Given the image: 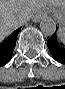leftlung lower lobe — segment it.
I'll return each instance as SVG.
<instances>
[{"label":"left lung lower lobe","instance_id":"1","mask_svg":"<svg viewBox=\"0 0 65 89\" xmlns=\"http://www.w3.org/2000/svg\"><path fill=\"white\" fill-rule=\"evenodd\" d=\"M47 46L53 58L56 61L65 64V42H61L57 35L53 34L52 37L47 41Z\"/></svg>","mask_w":65,"mask_h":89}]
</instances>
